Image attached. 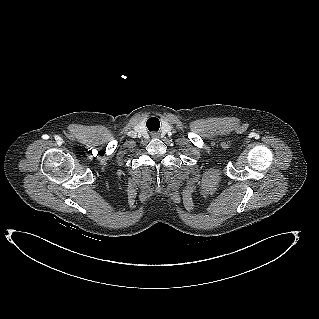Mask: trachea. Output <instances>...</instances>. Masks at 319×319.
I'll return each mask as SVG.
<instances>
[{"instance_id":"trachea-1","label":"trachea","mask_w":319,"mask_h":319,"mask_svg":"<svg viewBox=\"0 0 319 319\" xmlns=\"http://www.w3.org/2000/svg\"><path fill=\"white\" fill-rule=\"evenodd\" d=\"M146 126L150 131H158L160 127V122L157 118L151 117L147 120Z\"/></svg>"}]
</instances>
